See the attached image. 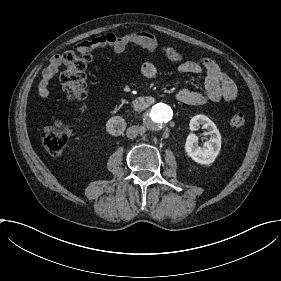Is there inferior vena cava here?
<instances>
[{"label": "inferior vena cava", "mask_w": 281, "mask_h": 281, "mask_svg": "<svg viewBox=\"0 0 281 281\" xmlns=\"http://www.w3.org/2000/svg\"><path fill=\"white\" fill-rule=\"evenodd\" d=\"M139 132V128L137 126H130L126 131V136L129 139H134L137 137Z\"/></svg>", "instance_id": "inferior-vena-cava-1"}]
</instances>
